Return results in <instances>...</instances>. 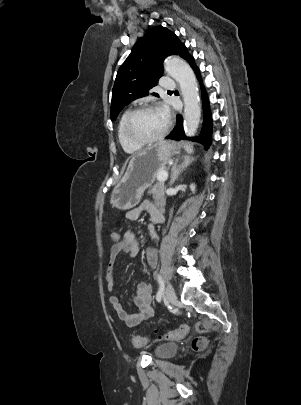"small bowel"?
Masks as SVG:
<instances>
[{"mask_svg": "<svg viewBox=\"0 0 301 405\" xmlns=\"http://www.w3.org/2000/svg\"><path fill=\"white\" fill-rule=\"evenodd\" d=\"M143 213L148 214L151 223L149 224V232L154 240L158 236L154 230V225L163 221V211L160 206H156L150 200H144L138 207L128 211L126 218L130 221L137 220ZM119 242L113 243L110 251L109 264L106 270V283L109 291H113L115 285V265L117 257L121 253H126L131 257H135L139 252V242L134 233L130 230L124 232L123 235H118ZM157 251L154 248L147 249V260L150 267H155L157 264ZM133 302L137 308L134 313H128L121 305L119 298L115 294L109 297V303L117 313L119 319L129 327H135L141 322L148 320L154 314L152 307V287L150 284L141 282L137 286L136 295Z\"/></svg>", "mask_w": 301, "mask_h": 405, "instance_id": "c3829d8e", "label": "small bowel"}]
</instances>
